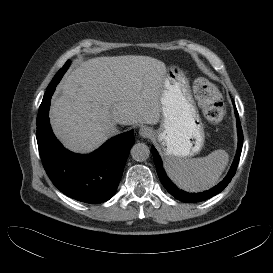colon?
I'll return each mask as SVG.
<instances>
[{
    "label": "colon",
    "instance_id": "colon-1",
    "mask_svg": "<svg viewBox=\"0 0 273 273\" xmlns=\"http://www.w3.org/2000/svg\"><path fill=\"white\" fill-rule=\"evenodd\" d=\"M194 93L208 123L220 124L225 118V110L217 87L205 79H199L194 84Z\"/></svg>",
    "mask_w": 273,
    "mask_h": 273
}]
</instances>
